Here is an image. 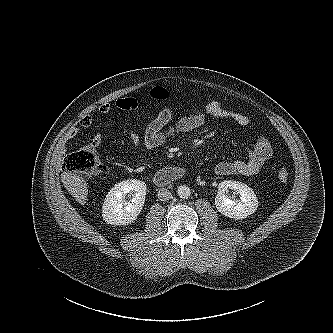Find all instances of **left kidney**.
<instances>
[{
	"label": "left kidney",
	"mask_w": 333,
	"mask_h": 333,
	"mask_svg": "<svg viewBox=\"0 0 333 333\" xmlns=\"http://www.w3.org/2000/svg\"><path fill=\"white\" fill-rule=\"evenodd\" d=\"M234 190L240 195V200L229 198L225 192ZM217 210L232 219H244L253 214L258 208V199L254 191L246 184L239 181L225 180L218 186L215 197Z\"/></svg>",
	"instance_id": "obj_1"
}]
</instances>
